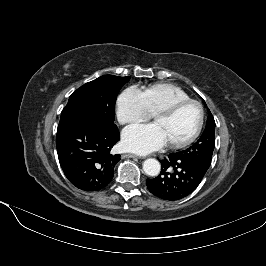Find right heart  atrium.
Returning <instances> with one entry per match:
<instances>
[{
  "mask_svg": "<svg viewBox=\"0 0 266 266\" xmlns=\"http://www.w3.org/2000/svg\"><path fill=\"white\" fill-rule=\"evenodd\" d=\"M117 117L122 124L138 123L150 117L142 92L138 88L128 87L119 95Z\"/></svg>",
  "mask_w": 266,
  "mask_h": 266,
  "instance_id": "d8ad5b80",
  "label": "right heart atrium"
}]
</instances>
